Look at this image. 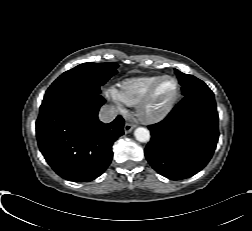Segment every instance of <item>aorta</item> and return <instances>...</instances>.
Listing matches in <instances>:
<instances>
[{
	"mask_svg": "<svg viewBox=\"0 0 252 231\" xmlns=\"http://www.w3.org/2000/svg\"><path fill=\"white\" fill-rule=\"evenodd\" d=\"M134 136L139 142H148L150 140V132L144 127H138L134 131Z\"/></svg>",
	"mask_w": 252,
	"mask_h": 231,
	"instance_id": "1",
	"label": "aorta"
}]
</instances>
